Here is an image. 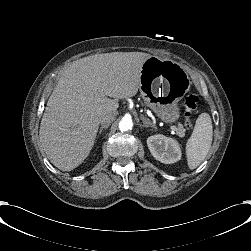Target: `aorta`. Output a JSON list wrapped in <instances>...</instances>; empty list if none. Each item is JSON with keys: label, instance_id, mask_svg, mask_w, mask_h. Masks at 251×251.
Wrapping results in <instances>:
<instances>
[{"label": "aorta", "instance_id": "obj_1", "mask_svg": "<svg viewBox=\"0 0 251 251\" xmlns=\"http://www.w3.org/2000/svg\"><path fill=\"white\" fill-rule=\"evenodd\" d=\"M133 126V121L130 118H123L119 123V130L128 131Z\"/></svg>", "mask_w": 251, "mask_h": 251}]
</instances>
